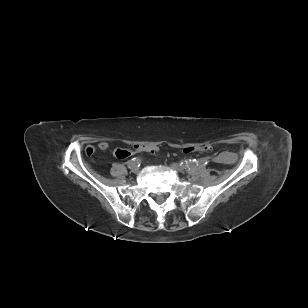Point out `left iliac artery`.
Here are the masks:
<instances>
[{"label": "left iliac artery", "instance_id": "obj_1", "mask_svg": "<svg viewBox=\"0 0 308 308\" xmlns=\"http://www.w3.org/2000/svg\"><path fill=\"white\" fill-rule=\"evenodd\" d=\"M212 159L211 158H207L206 156H201V157H199V158H197V159H193V160H189V161H186V166L188 167V168H191V167H194V166H196V165H202L203 164V166L204 167H209L211 164H212Z\"/></svg>", "mask_w": 308, "mask_h": 308}]
</instances>
